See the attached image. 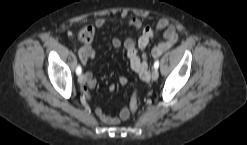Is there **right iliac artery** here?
I'll list each match as a JSON object with an SVG mask.
<instances>
[{
	"mask_svg": "<svg viewBox=\"0 0 247 145\" xmlns=\"http://www.w3.org/2000/svg\"><path fill=\"white\" fill-rule=\"evenodd\" d=\"M81 72H82V68H81L80 65H78L77 68H76V74H77V75H80Z\"/></svg>",
	"mask_w": 247,
	"mask_h": 145,
	"instance_id": "82829eb1",
	"label": "right iliac artery"
}]
</instances>
